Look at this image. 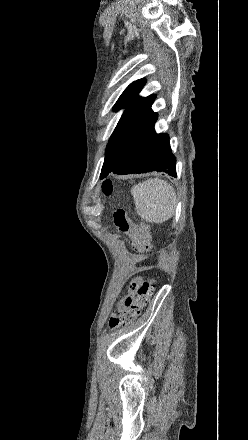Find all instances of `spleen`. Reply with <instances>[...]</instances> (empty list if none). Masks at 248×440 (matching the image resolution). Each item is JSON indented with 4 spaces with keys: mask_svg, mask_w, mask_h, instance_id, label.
I'll return each instance as SVG.
<instances>
[{
    "mask_svg": "<svg viewBox=\"0 0 248 440\" xmlns=\"http://www.w3.org/2000/svg\"><path fill=\"white\" fill-rule=\"evenodd\" d=\"M131 194L137 214L146 222L161 224L175 213L176 193L167 181L148 179L133 186Z\"/></svg>",
    "mask_w": 248,
    "mask_h": 440,
    "instance_id": "obj_1",
    "label": "spleen"
}]
</instances>
